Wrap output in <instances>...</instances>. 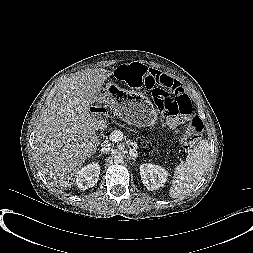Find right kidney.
<instances>
[{
	"label": "right kidney",
	"instance_id": "1",
	"mask_svg": "<svg viewBox=\"0 0 253 253\" xmlns=\"http://www.w3.org/2000/svg\"><path fill=\"white\" fill-rule=\"evenodd\" d=\"M100 175V166L98 163H90L80 169L76 175V184L81 190L93 187Z\"/></svg>",
	"mask_w": 253,
	"mask_h": 253
}]
</instances>
